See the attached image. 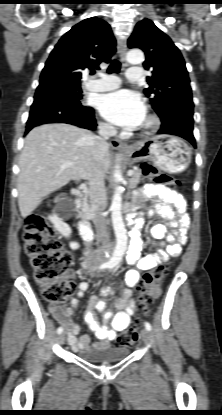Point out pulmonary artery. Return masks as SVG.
<instances>
[{
    "label": "pulmonary artery",
    "mask_w": 222,
    "mask_h": 415,
    "mask_svg": "<svg viewBox=\"0 0 222 415\" xmlns=\"http://www.w3.org/2000/svg\"><path fill=\"white\" fill-rule=\"evenodd\" d=\"M126 77L130 82H138L141 78V68L131 67ZM120 82L116 77L101 75V78L95 81H89L84 85L86 91L91 92H105L119 87Z\"/></svg>",
    "instance_id": "1"
}]
</instances>
